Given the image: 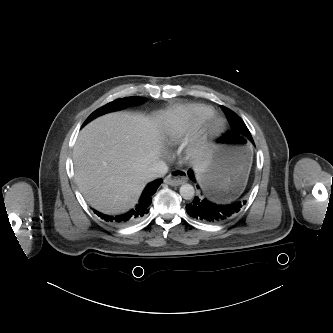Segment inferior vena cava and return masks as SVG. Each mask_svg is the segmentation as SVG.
I'll return each mask as SVG.
<instances>
[{
    "label": "inferior vena cava",
    "instance_id": "obj_1",
    "mask_svg": "<svg viewBox=\"0 0 333 333\" xmlns=\"http://www.w3.org/2000/svg\"><path fill=\"white\" fill-rule=\"evenodd\" d=\"M168 172V166L163 161H156L152 163L146 170L144 179L151 181L156 178L164 177Z\"/></svg>",
    "mask_w": 333,
    "mask_h": 333
}]
</instances>
